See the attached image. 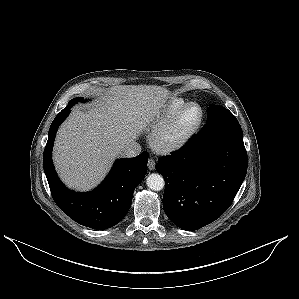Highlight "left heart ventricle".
Returning a JSON list of instances; mask_svg holds the SVG:
<instances>
[{
	"label": "left heart ventricle",
	"mask_w": 299,
	"mask_h": 299,
	"mask_svg": "<svg viewBox=\"0 0 299 299\" xmlns=\"http://www.w3.org/2000/svg\"><path fill=\"white\" fill-rule=\"evenodd\" d=\"M200 116V110L198 107H190L186 110L182 116L180 117L179 121L177 122L176 126L174 127L171 135L172 136H179L183 133L187 132L191 129L196 122L198 121Z\"/></svg>",
	"instance_id": "left-heart-ventricle-1"
}]
</instances>
